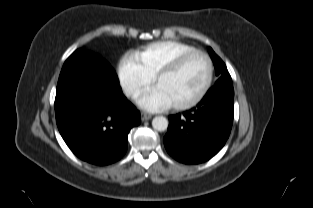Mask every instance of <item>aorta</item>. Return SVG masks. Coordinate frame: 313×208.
I'll return each instance as SVG.
<instances>
[{
	"instance_id": "obj_1",
	"label": "aorta",
	"mask_w": 313,
	"mask_h": 208,
	"mask_svg": "<svg viewBox=\"0 0 313 208\" xmlns=\"http://www.w3.org/2000/svg\"><path fill=\"white\" fill-rule=\"evenodd\" d=\"M152 126L157 131H165L168 128V120L163 116H156L152 120Z\"/></svg>"
}]
</instances>
